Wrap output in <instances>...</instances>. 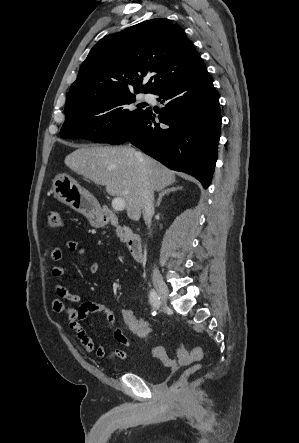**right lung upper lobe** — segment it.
Masks as SVG:
<instances>
[{
    "label": "right lung upper lobe",
    "instance_id": "cb5924a9",
    "mask_svg": "<svg viewBox=\"0 0 299 443\" xmlns=\"http://www.w3.org/2000/svg\"><path fill=\"white\" fill-rule=\"evenodd\" d=\"M203 68L205 64L179 26L164 18L148 20L102 38L91 49L69 90L66 106L121 93H154ZM148 74L152 77L142 85Z\"/></svg>",
    "mask_w": 299,
    "mask_h": 443
}]
</instances>
